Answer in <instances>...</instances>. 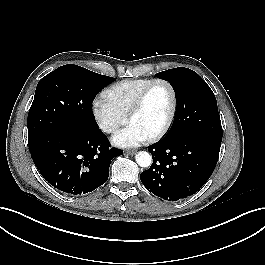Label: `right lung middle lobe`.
<instances>
[{
    "label": "right lung middle lobe",
    "instance_id": "1",
    "mask_svg": "<svg viewBox=\"0 0 265 265\" xmlns=\"http://www.w3.org/2000/svg\"><path fill=\"white\" fill-rule=\"evenodd\" d=\"M114 80L74 64L44 76L28 113V139L65 129H97L92 102Z\"/></svg>",
    "mask_w": 265,
    "mask_h": 265
}]
</instances>
